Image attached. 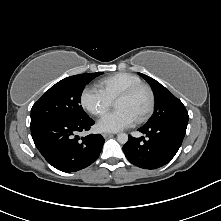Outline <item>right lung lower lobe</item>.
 Masks as SVG:
<instances>
[{"label":"right lung lower lobe","mask_w":221,"mask_h":221,"mask_svg":"<svg viewBox=\"0 0 221 221\" xmlns=\"http://www.w3.org/2000/svg\"><path fill=\"white\" fill-rule=\"evenodd\" d=\"M94 124L84 119L51 118L31 122V135L35 146L46 161L63 172L86 168L97 160L105 142L99 134L81 139L77 133L87 131Z\"/></svg>","instance_id":"obj_1"}]
</instances>
